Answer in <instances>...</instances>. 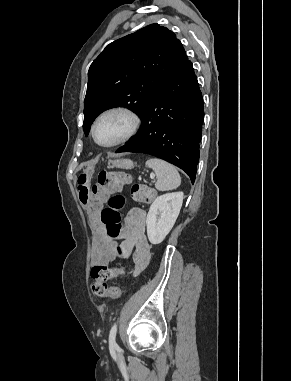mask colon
I'll list each match as a JSON object with an SVG mask.
<instances>
[{
    "label": "colon",
    "instance_id": "5ec220e1",
    "mask_svg": "<svg viewBox=\"0 0 291 381\" xmlns=\"http://www.w3.org/2000/svg\"><path fill=\"white\" fill-rule=\"evenodd\" d=\"M86 174L83 173L79 179V192L84 204L98 206L110 194L120 191L130 184L129 179L119 173H109L101 171L97 182L90 186L86 182ZM131 198L140 203H150L154 198V190L150 186L141 183H133L130 188ZM125 204V198L116 194L109 198L108 207L104 208L100 215V220L106 229L108 236L115 238L121 231L120 210ZM118 255L123 256V248H118ZM128 269L125 265L119 264L110 267L104 264H97L91 270V277L94 280L92 292L100 298H118L120 289L116 286H109L108 281L119 275H126Z\"/></svg>",
    "mask_w": 291,
    "mask_h": 381
}]
</instances>
